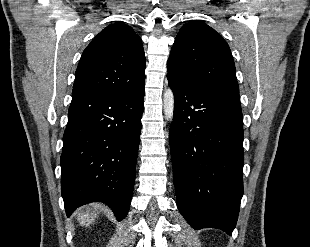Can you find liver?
<instances>
[{
  "instance_id": "1",
  "label": "liver",
  "mask_w": 310,
  "mask_h": 247,
  "mask_svg": "<svg viewBox=\"0 0 310 247\" xmlns=\"http://www.w3.org/2000/svg\"><path fill=\"white\" fill-rule=\"evenodd\" d=\"M91 207L94 208V212L91 214H85V213H78V220L82 226H88L92 224L97 217L96 211L98 209H101L103 206L101 204H92Z\"/></svg>"
}]
</instances>
